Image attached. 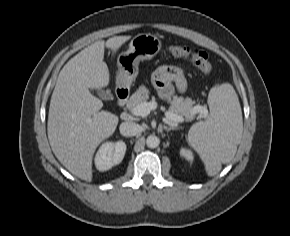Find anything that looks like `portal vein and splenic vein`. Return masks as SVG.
Here are the masks:
<instances>
[{"mask_svg":"<svg viewBox=\"0 0 290 236\" xmlns=\"http://www.w3.org/2000/svg\"><path fill=\"white\" fill-rule=\"evenodd\" d=\"M155 108H156V102H153V101L152 102H144V103H141L140 105H138L137 107H135L133 109L132 114L135 116L145 117L148 114H150L151 110H154ZM194 109L197 112H201L205 115L207 114V109L205 107L196 106ZM165 117H166V119L172 121L173 125H177V123L184 122V117L175 115L170 111L165 112Z\"/></svg>","mask_w":290,"mask_h":236,"instance_id":"portal-vein-and-splenic-vein-1","label":"portal vein and splenic vein"}]
</instances>
